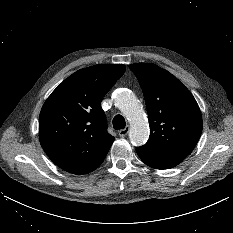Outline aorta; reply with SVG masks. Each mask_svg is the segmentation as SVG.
Wrapping results in <instances>:
<instances>
[{"label":"aorta","instance_id":"762f6f07","mask_svg":"<svg viewBox=\"0 0 233 233\" xmlns=\"http://www.w3.org/2000/svg\"><path fill=\"white\" fill-rule=\"evenodd\" d=\"M115 104L130 123L129 139L135 146H142L149 137L143 110L138 104L136 96L128 90H120L115 95Z\"/></svg>","mask_w":233,"mask_h":233}]
</instances>
